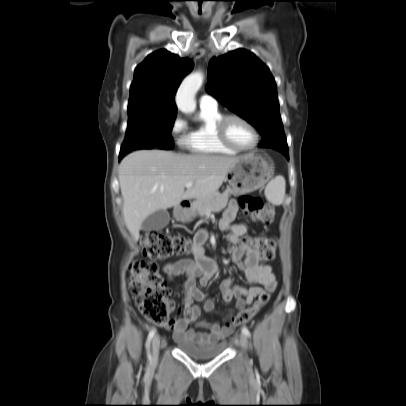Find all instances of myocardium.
I'll return each instance as SVG.
<instances>
[{
  "label": "myocardium",
  "instance_id": "obj_1",
  "mask_svg": "<svg viewBox=\"0 0 406 406\" xmlns=\"http://www.w3.org/2000/svg\"><path fill=\"white\" fill-rule=\"evenodd\" d=\"M238 120L242 123H244L247 127L250 128V130L252 131L253 135H254V143L247 148H242L239 147L237 145H235L234 143H232L227 135V124L230 120ZM216 133H217V137L219 139V141L226 147L235 150L237 152H246V151H251L253 149H255L259 143V133L256 129V127L245 117L239 115V114H235V113H230V114H225L222 115V117L219 119V121L217 122L216 125Z\"/></svg>",
  "mask_w": 406,
  "mask_h": 406
}]
</instances>
